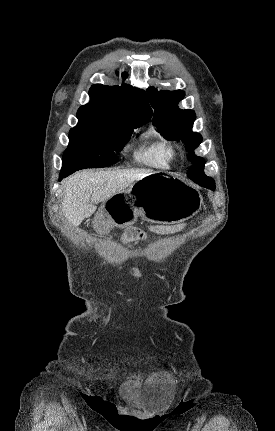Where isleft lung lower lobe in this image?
<instances>
[{"label":"left lung lower lobe","mask_w":275,"mask_h":431,"mask_svg":"<svg viewBox=\"0 0 275 431\" xmlns=\"http://www.w3.org/2000/svg\"><path fill=\"white\" fill-rule=\"evenodd\" d=\"M192 181L197 183L198 185L215 190V183L214 180L211 177L206 176L205 174H188L187 175Z\"/></svg>","instance_id":"obj_1"}]
</instances>
